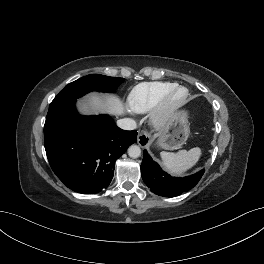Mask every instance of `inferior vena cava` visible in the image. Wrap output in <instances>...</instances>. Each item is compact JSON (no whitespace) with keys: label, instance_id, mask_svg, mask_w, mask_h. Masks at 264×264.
Listing matches in <instances>:
<instances>
[{"label":"inferior vena cava","instance_id":"1","mask_svg":"<svg viewBox=\"0 0 264 264\" xmlns=\"http://www.w3.org/2000/svg\"><path fill=\"white\" fill-rule=\"evenodd\" d=\"M117 126L124 130H135L136 122L131 118H124L117 121Z\"/></svg>","mask_w":264,"mask_h":264}]
</instances>
